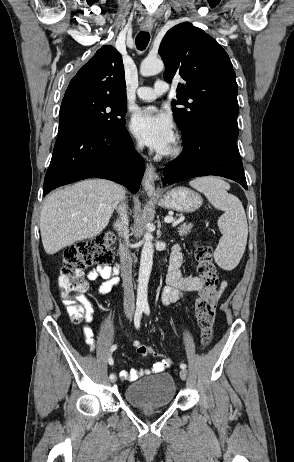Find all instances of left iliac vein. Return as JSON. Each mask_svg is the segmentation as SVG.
<instances>
[{"mask_svg":"<svg viewBox=\"0 0 294 462\" xmlns=\"http://www.w3.org/2000/svg\"><path fill=\"white\" fill-rule=\"evenodd\" d=\"M187 375H188V372H187L186 369H182V370L180 371V377H181L182 380H186V379H187Z\"/></svg>","mask_w":294,"mask_h":462,"instance_id":"4c4485c4","label":"left iliac vein"}]
</instances>
